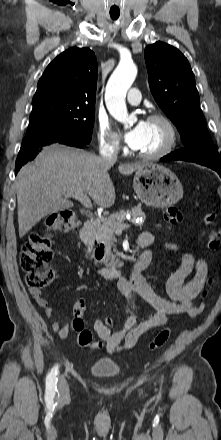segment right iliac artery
Here are the masks:
<instances>
[{
	"label": "right iliac artery",
	"instance_id": "82829eb1",
	"mask_svg": "<svg viewBox=\"0 0 221 440\" xmlns=\"http://www.w3.org/2000/svg\"><path fill=\"white\" fill-rule=\"evenodd\" d=\"M57 372H58V365L54 366L50 373L48 374L46 378V395L49 398H53L56 391H57Z\"/></svg>",
	"mask_w": 221,
	"mask_h": 440
}]
</instances>
